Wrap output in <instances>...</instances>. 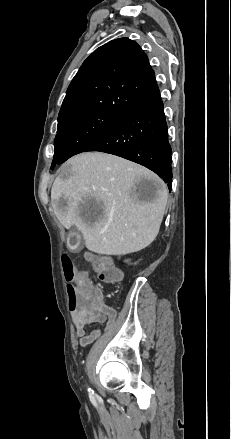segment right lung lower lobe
Here are the masks:
<instances>
[{"mask_svg": "<svg viewBox=\"0 0 231 439\" xmlns=\"http://www.w3.org/2000/svg\"><path fill=\"white\" fill-rule=\"evenodd\" d=\"M163 107L160 94L138 104L84 152L100 151L139 163L171 189L172 149Z\"/></svg>", "mask_w": 231, "mask_h": 439, "instance_id": "1", "label": "right lung lower lobe"}]
</instances>
